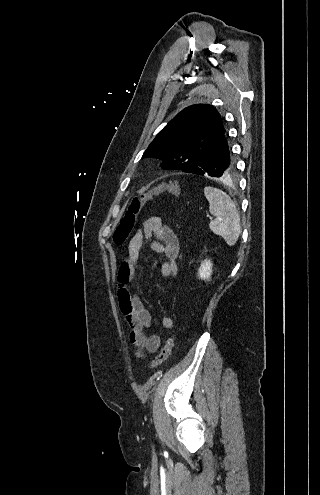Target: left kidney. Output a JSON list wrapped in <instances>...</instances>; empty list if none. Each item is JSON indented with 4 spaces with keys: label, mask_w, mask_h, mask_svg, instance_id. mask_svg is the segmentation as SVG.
Instances as JSON below:
<instances>
[{
    "label": "left kidney",
    "mask_w": 320,
    "mask_h": 495,
    "mask_svg": "<svg viewBox=\"0 0 320 495\" xmlns=\"http://www.w3.org/2000/svg\"><path fill=\"white\" fill-rule=\"evenodd\" d=\"M212 262L211 260L209 259H206L204 261L201 262V266L198 270V276H199V279L201 280H209L211 278V274H212Z\"/></svg>",
    "instance_id": "1"
}]
</instances>
